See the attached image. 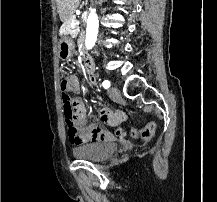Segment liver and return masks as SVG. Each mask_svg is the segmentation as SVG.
<instances>
[{"label": "liver", "mask_w": 217, "mask_h": 202, "mask_svg": "<svg viewBox=\"0 0 217 202\" xmlns=\"http://www.w3.org/2000/svg\"><path fill=\"white\" fill-rule=\"evenodd\" d=\"M56 4L61 22H67L78 8L80 0H56Z\"/></svg>", "instance_id": "obj_1"}]
</instances>
